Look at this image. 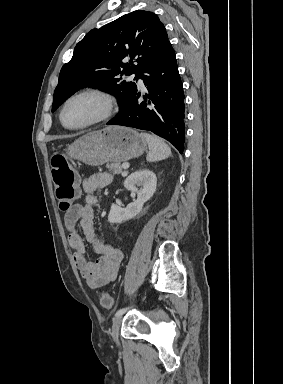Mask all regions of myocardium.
<instances>
[{"label": "myocardium", "mask_w": 283, "mask_h": 384, "mask_svg": "<svg viewBox=\"0 0 283 384\" xmlns=\"http://www.w3.org/2000/svg\"><path fill=\"white\" fill-rule=\"evenodd\" d=\"M83 96H90L95 99H97L100 103V111L99 113L90 121L79 125L75 127H69L64 123V111L68 104L79 97ZM114 109H115V103L113 97L106 91L99 89V88H86L79 90L73 94H71L63 103L62 108L60 110V122L62 126L68 130H73V131H78V130H84L86 128L92 127L94 125H97L99 123H102L104 121L109 120L113 114H114Z\"/></svg>", "instance_id": "obj_1"}]
</instances>
